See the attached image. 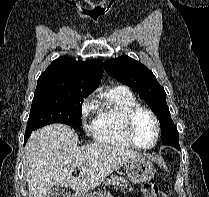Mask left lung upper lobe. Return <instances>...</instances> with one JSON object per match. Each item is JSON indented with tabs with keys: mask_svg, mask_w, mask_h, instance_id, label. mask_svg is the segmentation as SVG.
<instances>
[{
	"mask_svg": "<svg viewBox=\"0 0 209 197\" xmlns=\"http://www.w3.org/2000/svg\"><path fill=\"white\" fill-rule=\"evenodd\" d=\"M103 66L113 78L135 90L155 112L160 122L162 144H179V133L171 119L165 90L152 71L127 55L108 60Z\"/></svg>",
	"mask_w": 209,
	"mask_h": 197,
	"instance_id": "5c2ea615",
	"label": "left lung upper lobe"
}]
</instances>
